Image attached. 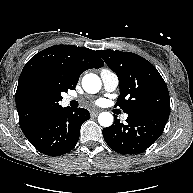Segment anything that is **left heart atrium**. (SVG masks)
<instances>
[{
    "mask_svg": "<svg viewBox=\"0 0 193 193\" xmlns=\"http://www.w3.org/2000/svg\"><path fill=\"white\" fill-rule=\"evenodd\" d=\"M102 103H103L102 100H98V101H97V104H98V105H101Z\"/></svg>",
    "mask_w": 193,
    "mask_h": 193,
    "instance_id": "obj_1",
    "label": "left heart atrium"
}]
</instances>
